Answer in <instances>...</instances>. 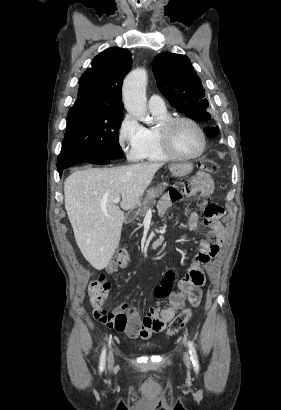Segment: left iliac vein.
<instances>
[{"mask_svg":"<svg viewBox=\"0 0 281 410\" xmlns=\"http://www.w3.org/2000/svg\"><path fill=\"white\" fill-rule=\"evenodd\" d=\"M183 360L187 367L191 366L190 358L187 352L184 353Z\"/></svg>","mask_w":281,"mask_h":410,"instance_id":"4c4485c4","label":"left iliac vein"}]
</instances>
